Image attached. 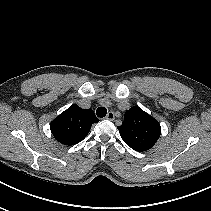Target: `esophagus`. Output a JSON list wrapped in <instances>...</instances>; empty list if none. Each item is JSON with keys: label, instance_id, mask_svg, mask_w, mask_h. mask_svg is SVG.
Returning <instances> with one entry per match:
<instances>
[{"label": "esophagus", "instance_id": "34e87169", "mask_svg": "<svg viewBox=\"0 0 211 211\" xmlns=\"http://www.w3.org/2000/svg\"><path fill=\"white\" fill-rule=\"evenodd\" d=\"M105 118H106L107 120L113 121L114 118H115L114 112H112V111L108 112V114L106 115Z\"/></svg>", "mask_w": 211, "mask_h": 211}]
</instances>
